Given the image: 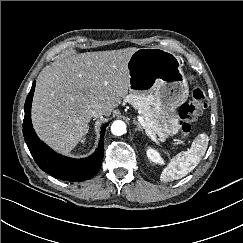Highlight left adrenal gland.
<instances>
[{"label":"left adrenal gland","instance_id":"1","mask_svg":"<svg viewBox=\"0 0 243 243\" xmlns=\"http://www.w3.org/2000/svg\"><path fill=\"white\" fill-rule=\"evenodd\" d=\"M133 122L135 125H137V128L135 129V131H141L143 133V129H142V126L140 125V123L135 120Z\"/></svg>","mask_w":243,"mask_h":243}]
</instances>
